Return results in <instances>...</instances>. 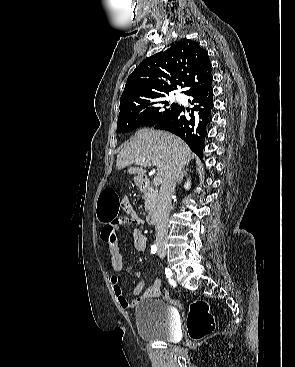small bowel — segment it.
<instances>
[{
  "mask_svg": "<svg viewBox=\"0 0 295 367\" xmlns=\"http://www.w3.org/2000/svg\"><path fill=\"white\" fill-rule=\"evenodd\" d=\"M122 202V208L128 213L129 219L126 220L123 218H117L112 222L103 223L100 238L108 247L111 266L115 272V274L110 276V283L112 285L114 294L123 309H132L145 299L160 297L162 295V283L159 278H156L154 283L141 295L146 285V277L141 276L140 272H135L138 282L133 288L132 295L138 298L129 301L123 294L122 288L119 284V278L116 274L121 272L123 269V258L119 251L117 242V231L125 222H129L133 225H139L143 222L133 209V206L128 198H124ZM132 240L136 251L143 252L146 249L147 237L136 227H134L132 230Z\"/></svg>",
  "mask_w": 295,
  "mask_h": 367,
  "instance_id": "obj_1",
  "label": "small bowel"
}]
</instances>
